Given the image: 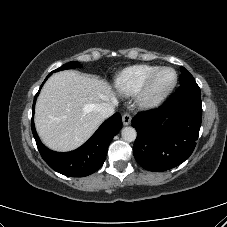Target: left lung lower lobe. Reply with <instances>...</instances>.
I'll use <instances>...</instances> for the list:
<instances>
[{"label":"left lung lower lobe","mask_w":227,"mask_h":227,"mask_svg":"<svg viewBox=\"0 0 227 227\" xmlns=\"http://www.w3.org/2000/svg\"><path fill=\"white\" fill-rule=\"evenodd\" d=\"M201 119L199 86L195 80L181 83L159 108L140 112L132 119L137 130L133 149L136 161L154 172L180 165L196 146Z\"/></svg>","instance_id":"0a47b994"}]
</instances>
